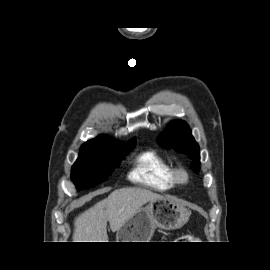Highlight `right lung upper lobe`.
Instances as JSON below:
<instances>
[{
  "label": "right lung upper lobe",
  "mask_w": 270,
  "mask_h": 270,
  "mask_svg": "<svg viewBox=\"0 0 270 270\" xmlns=\"http://www.w3.org/2000/svg\"><path fill=\"white\" fill-rule=\"evenodd\" d=\"M134 141L136 140L134 139L131 142H134ZM117 144H121V143L114 141L112 138L108 136L100 135L84 143L81 146V148H99V147H105V146H111V145H117Z\"/></svg>",
  "instance_id": "1"
}]
</instances>
